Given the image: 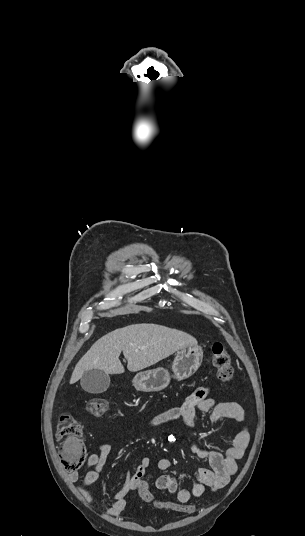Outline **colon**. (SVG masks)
I'll return each mask as SVG.
<instances>
[{"mask_svg":"<svg viewBox=\"0 0 305 536\" xmlns=\"http://www.w3.org/2000/svg\"><path fill=\"white\" fill-rule=\"evenodd\" d=\"M212 364L217 373V379L222 384H228L233 377L232 366L229 353L224 343L215 341L211 348ZM87 411L95 417L104 415L108 411V400L95 397L87 401ZM56 440L59 462L63 463L65 471H80L83 454H86L88 447L83 443L82 427L80 423L69 414H61L58 419ZM141 501L145 505L152 506L148 509L152 513H190L194 506L190 502H156V495L148 487L140 482L138 484Z\"/></svg>","mask_w":305,"mask_h":536,"instance_id":"5ec220e1","label":"colon"}]
</instances>
